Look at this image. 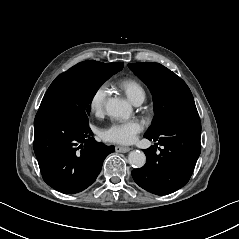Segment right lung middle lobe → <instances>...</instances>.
Masks as SVG:
<instances>
[{
  "label": "right lung middle lobe",
  "mask_w": 239,
  "mask_h": 239,
  "mask_svg": "<svg viewBox=\"0 0 239 239\" xmlns=\"http://www.w3.org/2000/svg\"><path fill=\"white\" fill-rule=\"evenodd\" d=\"M117 73L96 62H81L60 74L45 93L36 117L68 115L89 125L90 104L100 86Z\"/></svg>",
  "instance_id": "right-lung-middle-lobe-1"
}]
</instances>
